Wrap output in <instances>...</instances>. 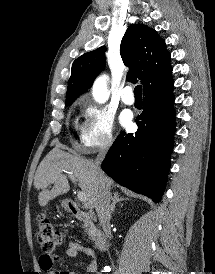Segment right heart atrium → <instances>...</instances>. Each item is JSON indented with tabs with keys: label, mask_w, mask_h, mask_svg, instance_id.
Masks as SVG:
<instances>
[{
	"label": "right heart atrium",
	"mask_w": 215,
	"mask_h": 274,
	"mask_svg": "<svg viewBox=\"0 0 215 274\" xmlns=\"http://www.w3.org/2000/svg\"><path fill=\"white\" fill-rule=\"evenodd\" d=\"M83 123L77 149L88 153L109 148L115 139L113 115L105 108L90 102L81 103Z\"/></svg>",
	"instance_id": "1"
}]
</instances>
